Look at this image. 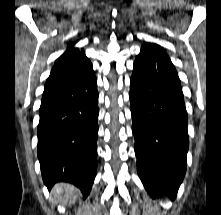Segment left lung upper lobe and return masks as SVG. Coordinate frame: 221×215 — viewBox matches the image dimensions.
Wrapping results in <instances>:
<instances>
[{"mask_svg": "<svg viewBox=\"0 0 221 215\" xmlns=\"http://www.w3.org/2000/svg\"><path fill=\"white\" fill-rule=\"evenodd\" d=\"M150 45H151L150 43H147L143 47H147V46H150Z\"/></svg>", "mask_w": 221, "mask_h": 215, "instance_id": "left-lung-upper-lobe-1", "label": "left lung upper lobe"}]
</instances>
